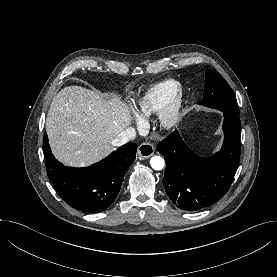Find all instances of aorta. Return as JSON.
I'll list each match as a JSON object with an SVG mask.
<instances>
[{
    "label": "aorta",
    "mask_w": 277,
    "mask_h": 277,
    "mask_svg": "<svg viewBox=\"0 0 277 277\" xmlns=\"http://www.w3.org/2000/svg\"><path fill=\"white\" fill-rule=\"evenodd\" d=\"M150 164L154 170H162L164 168L165 162L162 157L154 156L151 158Z\"/></svg>",
    "instance_id": "1"
}]
</instances>
